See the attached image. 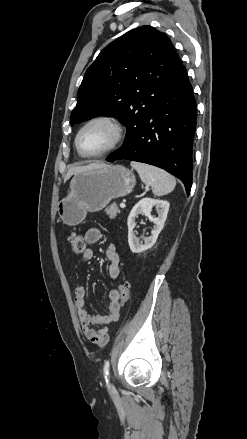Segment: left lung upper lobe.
<instances>
[{
  "mask_svg": "<svg viewBox=\"0 0 247 439\" xmlns=\"http://www.w3.org/2000/svg\"><path fill=\"white\" fill-rule=\"evenodd\" d=\"M185 70L164 33L151 26L135 28L107 45L86 70L71 125L95 116L115 117L126 125L127 142L158 96Z\"/></svg>",
  "mask_w": 247,
  "mask_h": 439,
  "instance_id": "obj_1",
  "label": "left lung upper lobe"
}]
</instances>
